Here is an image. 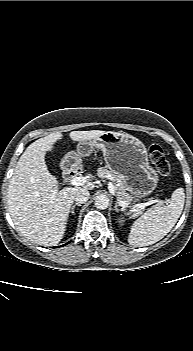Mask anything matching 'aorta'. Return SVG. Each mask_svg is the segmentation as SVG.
Here are the masks:
<instances>
[{
	"instance_id": "obj_1",
	"label": "aorta",
	"mask_w": 193,
	"mask_h": 351,
	"mask_svg": "<svg viewBox=\"0 0 193 351\" xmlns=\"http://www.w3.org/2000/svg\"><path fill=\"white\" fill-rule=\"evenodd\" d=\"M95 206L98 209H106L109 206V199L106 195L100 194L95 198Z\"/></svg>"
}]
</instances>
